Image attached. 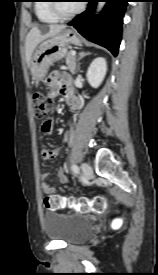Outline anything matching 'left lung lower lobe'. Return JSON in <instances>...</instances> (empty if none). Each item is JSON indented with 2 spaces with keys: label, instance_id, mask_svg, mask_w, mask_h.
Returning a JSON list of instances; mask_svg holds the SVG:
<instances>
[{
  "label": "left lung lower lobe",
  "instance_id": "1",
  "mask_svg": "<svg viewBox=\"0 0 158 275\" xmlns=\"http://www.w3.org/2000/svg\"><path fill=\"white\" fill-rule=\"evenodd\" d=\"M100 0H90L88 9L76 16L68 25H73L88 40L107 48L117 55L122 31V19L128 0H103L107 2L99 16H94L95 5Z\"/></svg>",
  "mask_w": 158,
  "mask_h": 275
}]
</instances>
